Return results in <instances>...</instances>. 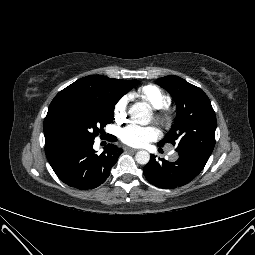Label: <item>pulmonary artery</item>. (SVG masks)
<instances>
[{"label": "pulmonary artery", "mask_w": 255, "mask_h": 255, "mask_svg": "<svg viewBox=\"0 0 255 255\" xmlns=\"http://www.w3.org/2000/svg\"><path fill=\"white\" fill-rule=\"evenodd\" d=\"M169 157L173 160L176 158V153L174 150H171L170 153H169Z\"/></svg>", "instance_id": "1"}]
</instances>
